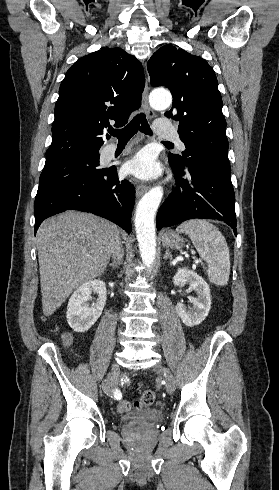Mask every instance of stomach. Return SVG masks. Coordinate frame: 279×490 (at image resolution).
Here are the masks:
<instances>
[{"mask_svg": "<svg viewBox=\"0 0 279 490\" xmlns=\"http://www.w3.org/2000/svg\"><path fill=\"white\" fill-rule=\"evenodd\" d=\"M161 240L163 246L172 248V250H181L184 246L183 238L179 234H176V232H172V230H162Z\"/></svg>", "mask_w": 279, "mask_h": 490, "instance_id": "stomach-1", "label": "stomach"}]
</instances>
